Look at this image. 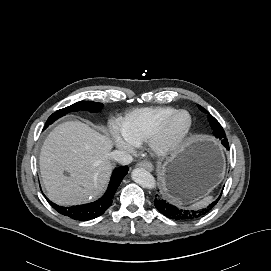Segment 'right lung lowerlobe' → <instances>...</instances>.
I'll return each instance as SVG.
<instances>
[{"mask_svg":"<svg viewBox=\"0 0 271 271\" xmlns=\"http://www.w3.org/2000/svg\"><path fill=\"white\" fill-rule=\"evenodd\" d=\"M128 170L129 168L127 166L116 168L112 174L107 192L101 199L93 203L63 207L52 203L48 199L47 200L60 214L68 216L74 220L85 221L97 218L111 206L114 194Z\"/></svg>","mask_w":271,"mask_h":271,"instance_id":"right-lung-lower-lobe-1","label":"right lung lower lobe"}]
</instances>
